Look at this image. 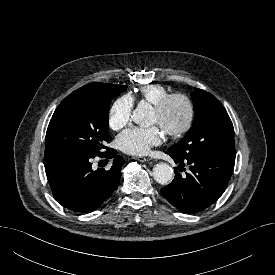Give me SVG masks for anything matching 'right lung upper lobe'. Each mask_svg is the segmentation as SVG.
I'll return each instance as SVG.
<instances>
[{
	"label": "right lung upper lobe",
	"mask_w": 275,
	"mask_h": 275,
	"mask_svg": "<svg viewBox=\"0 0 275 275\" xmlns=\"http://www.w3.org/2000/svg\"><path fill=\"white\" fill-rule=\"evenodd\" d=\"M111 85H114V84H109V83H93V84H88V85H85V86L79 88L78 90L74 91L71 94H75V93H78V92L83 91V90L105 88V87H108V86H111Z\"/></svg>",
	"instance_id": "1"
}]
</instances>
